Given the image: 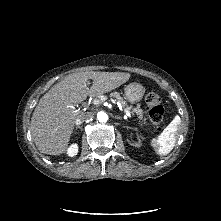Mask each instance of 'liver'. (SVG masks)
I'll use <instances>...</instances> for the list:
<instances>
[{"instance_id":"obj_1","label":"liver","mask_w":221,"mask_h":221,"mask_svg":"<svg viewBox=\"0 0 221 221\" xmlns=\"http://www.w3.org/2000/svg\"><path fill=\"white\" fill-rule=\"evenodd\" d=\"M124 72H79L55 84L39 101L31 118V135L41 153L60 155L67 151L75 120L81 114L75 105L87 96L110 92L130 79ZM93 84L89 88L88 80Z\"/></svg>"}]
</instances>
